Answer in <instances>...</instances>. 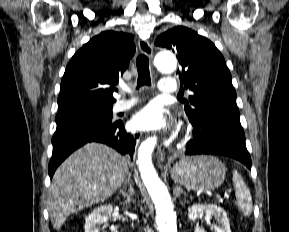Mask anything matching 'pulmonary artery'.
I'll return each instance as SVG.
<instances>
[{
    "label": "pulmonary artery",
    "instance_id": "1",
    "mask_svg": "<svg viewBox=\"0 0 289 232\" xmlns=\"http://www.w3.org/2000/svg\"><path fill=\"white\" fill-rule=\"evenodd\" d=\"M159 90L163 94H173L176 93L178 90V85L176 81L172 78H163L159 82ZM126 92H130L129 89H125ZM136 98H131V99H119L116 101L114 105V110L119 112V111H124L132 106H134L137 103Z\"/></svg>",
    "mask_w": 289,
    "mask_h": 232
}]
</instances>
